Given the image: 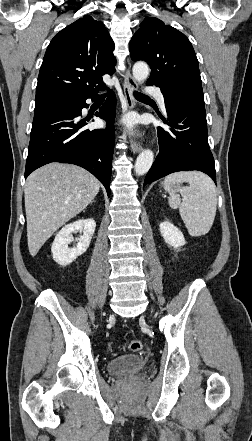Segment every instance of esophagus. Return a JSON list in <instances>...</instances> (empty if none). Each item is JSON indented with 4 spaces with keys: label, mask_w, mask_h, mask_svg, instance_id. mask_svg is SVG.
Segmentation results:
<instances>
[{
    "label": "esophagus",
    "mask_w": 252,
    "mask_h": 441,
    "mask_svg": "<svg viewBox=\"0 0 252 441\" xmlns=\"http://www.w3.org/2000/svg\"><path fill=\"white\" fill-rule=\"evenodd\" d=\"M138 85L130 71L127 69L125 72V81L123 85L124 95L127 103V107L129 109H133L136 106V101L134 99V91L137 90ZM131 150L134 153H138L142 150V144L138 142L136 139L132 138L130 141Z\"/></svg>",
    "instance_id": "esophagus-1"
}]
</instances>
